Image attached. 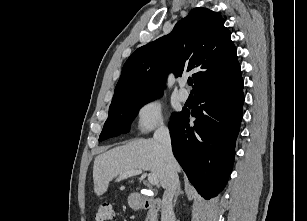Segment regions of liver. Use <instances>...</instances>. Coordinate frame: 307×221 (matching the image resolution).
<instances>
[{"label": "liver", "instance_id": "6515ba94", "mask_svg": "<svg viewBox=\"0 0 307 221\" xmlns=\"http://www.w3.org/2000/svg\"><path fill=\"white\" fill-rule=\"evenodd\" d=\"M132 170H150L156 174L161 186L167 187L168 161L162 146L154 139H137L103 152L95 158L94 192L97 196L103 195L113 178Z\"/></svg>", "mask_w": 307, "mask_h": 221}]
</instances>
